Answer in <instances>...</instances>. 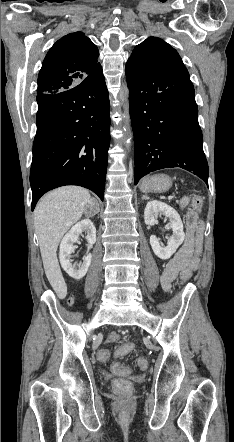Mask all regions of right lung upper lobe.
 Returning a JSON list of instances; mask_svg holds the SVG:
<instances>
[{"mask_svg": "<svg viewBox=\"0 0 234 442\" xmlns=\"http://www.w3.org/2000/svg\"><path fill=\"white\" fill-rule=\"evenodd\" d=\"M96 45L82 32L59 39L47 53L38 75L39 93H55L74 87L102 70Z\"/></svg>", "mask_w": 234, "mask_h": 442, "instance_id": "cb5924a9", "label": "right lung upper lobe"}]
</instances>
